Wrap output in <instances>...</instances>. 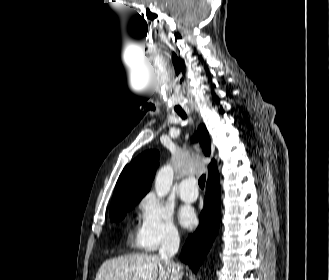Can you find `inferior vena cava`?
<instances>
[{
    "label": "inferior vena cava",
    "instance_id": "602c4592",
    "mask_svg": "<svg viewBox=\"0 0 329 280\" xmlns=\"http://www.w3.org/2000/svg\"><path fill=\"white\" fill-rule=\"evenodd\" d=\"M179 244L180 238L178 231L171 229L166 233L159 249L161 259L167 265L178 271L181 269V266L173 261V256L178 252Z\"/></svg>",
    "mask_w": 329,
    "mask_h": 280
}]
</instances>
